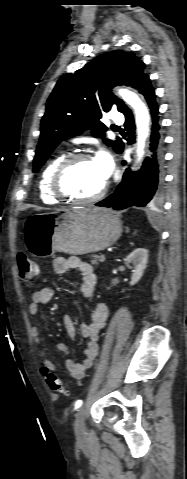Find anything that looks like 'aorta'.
Listing matches in <instances>:
<instances>
[{"label":"aorta","mask_w":187,"mask_h":479,"mask_svg":"<svg viewBox=\"0 0 187 479\" xmlns=\"http://www.w3.org/2000/svg\"><path fill=\"white\" fill-rule=\"evenodd\" d=\"M119 95L135 111L137 133H138L137 157H138V161H140L144 155L146 138L149 135V121H150L149 112L145 104L140 100V98L135 93L126 89H121L119 90Z\"/></svg>","instance_id":"762f6f07"}]
</instances>
